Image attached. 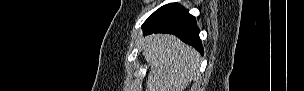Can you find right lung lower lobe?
<instances>
[{"mask_svg": "<svg viewBox=\"0 0 304 91\" xmlns=\"http://www.w3.org/2000/svg\"><path fill=\"white\" fill-rule=\"evenodd\" d=\"M144 34L169 33L203 52L195 18L177 3H170L155 11L143 24Z\"/></svg>", "mask_w": 304, "mask_h": 91, "instance_id": "right-lung-lower-lobe-1", "label": "right lung lower lobe"}]
</instances>
